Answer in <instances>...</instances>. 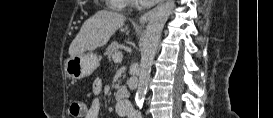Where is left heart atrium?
I'll return each mask as SVG.
<instances>
[{"instance_id":"1","label":"left heart atrium","mask_w":273,"mask_h":118,"mask_svg":"<svg viewBox=\"0 0 273 118\" xmlns=\"http://www.w3.org/2000/svg\"><path fill=\"white\" fill-rule=\"evenodd\" d=\"M142 1L148 2V3H154V2L157 1V0H142Z\"/></svg>"}]
</instances>
